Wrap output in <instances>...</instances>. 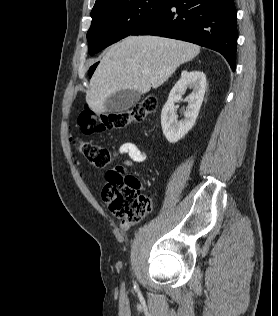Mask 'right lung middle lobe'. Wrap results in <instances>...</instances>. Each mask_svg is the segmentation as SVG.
Returning <instances> with one entry per match:
<instances>
[{
    "instance_id": "right-lung-middle-lobe-1",
    "label": "right lung middle lobe",
    "mask_w": 278,
    "mask_h": 316,
    "mask_svg": "<svg viewBox=\"0 0 278 316\" xmlns=\"http://www.w3.org/2000/svg\"><path fill=\"white\" fill-rule=\"evenodd\" d=\"M165 0H107L93 7L87 33L89 54L131 35L144 25ZM89 70V75L93 73Z\"/></svg>"
}]
</instances>
